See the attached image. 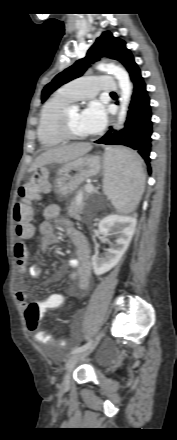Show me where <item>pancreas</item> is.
Here are the masks:
<instances>
[{"label":"pancreas","instance_id":"1","mask_svg":"<svg viewBox=\"0 0 177 440\" xmlns=\"http://www.w3.org/2000/svg\"><path fill=\"white\" fill-rule=\"evenodd\" d=\"M88 185L85 186L84 189H81L77 192V195L72 200L70 206L68 207V216L74 218L76 220L81 219V212L85 206V199H87L90 195V192L86 191Z\"/></svg>","mask_w":177,"mask_h":440}]
</instances>
